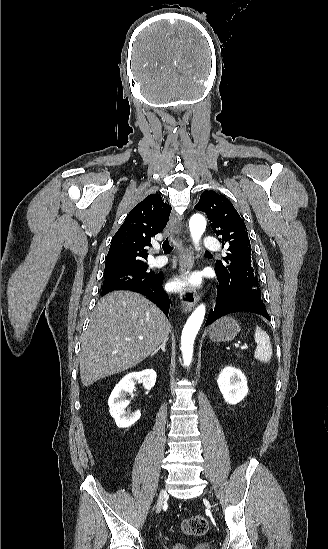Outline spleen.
I'll use <instances>...</instances> for the list:
<instances>
[{"label":"spleen","instance_id":"spleen-1","mask_svg":"<svg viewBox=\"0 0 328 549\" xmlns=\"http://www.w3.org/2000/svg\"><path fill=\"white\" fill-rule=\"evenodd\" d=\"M255 343H257V349H255L254 357L261 361V363H269L272 357V345L271 341L261 327H256L254 335Z\"/></svg>","mask_w":328,"mask_h":549}]
</instances>
